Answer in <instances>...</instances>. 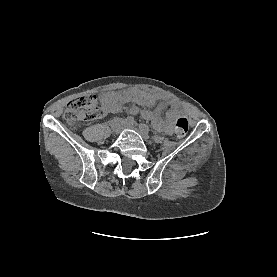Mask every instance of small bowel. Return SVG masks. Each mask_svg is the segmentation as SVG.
Listing matches in <instances>:
<instances>
[{"mask_svg":"<svg viewBox=\"0 0 277 277\" xmlns=\"http://www.w3.org/2000/svg\"><path fill=\"white\" fill-rule=\"evenodd\" d=\"M159 100L162 101L154 111L141 110L139 106L134 105L128 110V113L132 115L141 113L146 120L152 123L156 130L170 133L177 112L173 110V102L170 99L162 97L154 90L130 89L121 93H105L101 96L102 113L107 115L119 112L123 104L128 102L151 107ZM164 111L166 112L165 115L162 114Z\"/></svg>","mask_w":277,"mask_h":277,"instance_id":"obj_1","label":"small bowel"}]
</instances>
